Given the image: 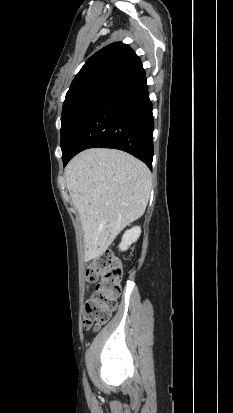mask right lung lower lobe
<instances>
[{"label":"right lung lower lobe","instance_id":"1","mask_svg":"<svg viewBox=\"0 0 233 413\" xmlns=\"http://www.w3.org/2000/svg\"><path fill=\"white\" fill-rule=\"evenodd\" d=\"M153 129L152 103L140 62L115 80L91 112L62 158L64 166L82 150L103 147L126 151L151 169Z\"/></svg>","mask_w":233,"mask_h":413}]
</instances>
